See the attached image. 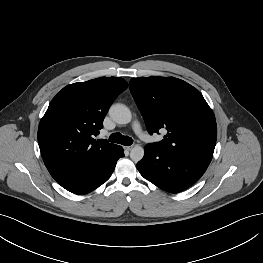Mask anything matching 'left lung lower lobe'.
<instances>
[{"mask_svg":"<svg viewBox=\"0 0 263 263\" xmlns=\"http://www.w3.org/2000/svg\"><path fill=\"white\" fill-rule=\"evenodd\" d=\"M145 155L138 162L140 174L157 187L171 193L180 192L194 184L209 164L188 158L174 151L145 146Z\"/></svg>","mask_w":263,"mask_h":263,"instance_id":"1","label":"left lung lower lobe"}]
</instances>
